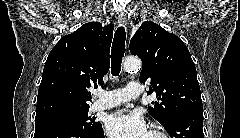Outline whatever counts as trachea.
<instances>
[{
  "instance_id": "1",
  "label": "trachea",
  "mask_w": 240,
  "mask_h": 138,
  "mask_svg": "<svg viewBox=\"0 0 240 138\" xmlns=\"http://www.w3.org/2000/svg\"><path fill=\"white\" fill-rule=\"evenodd\" d=\"M126 32L123 27H119L114 35L111 50V74L118 76L121 71L122 58L125 52Z\"/></svg>"
}]
</instances>
